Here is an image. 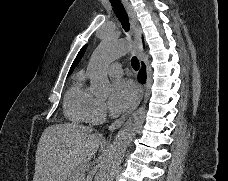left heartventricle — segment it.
I'll return each mask as SVG.
<instances>
[{"instance_id":"left-heart-ventricle-1","label":"left heart ventricle","mask_w":228,"mask_h":181,"mask_svg":"<svg viewBox=\"0 0 228 181\" xmlns=\"http://www.w3.org/2000/svg\"><path fill=\"white\" fill-rule=\"evenodd\" d=\"M120 76V72H113L111 74V77L109 78V85L111 84L112 80H117V78Z\"/></svg>"}]
</instances>
